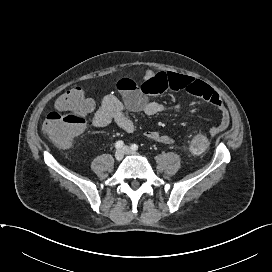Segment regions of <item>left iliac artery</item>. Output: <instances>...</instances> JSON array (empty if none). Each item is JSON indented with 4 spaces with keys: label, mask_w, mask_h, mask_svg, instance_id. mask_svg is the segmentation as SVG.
Instances as JSON below:
<instances>
[{
    "label": "left iliac artery",
    "mask_w": 272,
    "mask_h": 272,
    "mask_svg": "<svg viewBox=\"0 0 272 272\" xmlns=\"http://www.w3.org/2000/svg\"><path fill=\"white\" fill-rule=\"evenodd\" d=\"M131 149L134 150V151L137 150L138 149V145L137 144H132L131 145Z\"/></svg>",
    "instance_id": "obj_1"
}]
</instances>
